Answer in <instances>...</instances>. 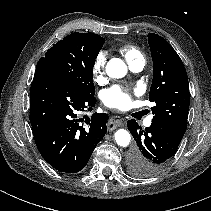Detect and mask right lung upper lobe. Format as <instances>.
<instances>
[{
	"mask_svg": "<svg viewBox=\"0 0 211 211\" xmlns=\"http://www.w3.org/2000/svg\"><path fill=\"white\" fill-rule=\"evenodd\" d=\"M89 34L93 35L94 37H96L97 39H99V40H101V41H105V39H104V38H102V37H101V36H99V35L92 34V33H89Z\"/></svg>",
	"mask_w": 211,
	"mask_h": 211,
	"instance_id": "cb5924a9",
	"label": "right lung upper lobe"
}]
</instances>
